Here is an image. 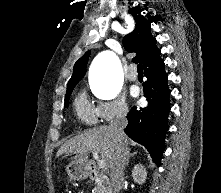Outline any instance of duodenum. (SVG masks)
<instances>
[{"label":"duodenum","mask_w":221,"mask_h":193,"mask_svg":"<svg viewBox=\"0 0 221 193\" xmlns=\"http://www.w3.org/2000/svg\"><path fill=\"white\" fill-rule=\"evenodd\" d=\"M84 167L90 179L98 180L101 183L104 193H113L109 177L95 163H88Z\"/></svg>","instance_id":"duodenum-1"}]
</instances>
